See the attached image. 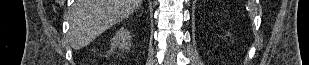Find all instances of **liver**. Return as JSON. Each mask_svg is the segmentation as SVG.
I'll return each instance as SVG.
<instances>
[{"label":"liver","instance_id":"obj_1","mask_svg":"<svg viewBox=\"0 0 309 65\" xmlns=\"http://www.w3.org/2000/svg\"><path fill=\"white\" fill-rule=\"evenodd\" d=\"M141 4L142 0H75L70 13L72 48L87 46L111 26L129 17Z\"/></svg>","mask_w":309,"mask_h":65}]
</instances>
